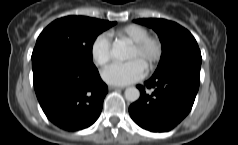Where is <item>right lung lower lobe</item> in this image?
<instances>
[{"label": "right lung lower lobe", "mask_w": 238, "mask_h": 145, "mask_svg": "<svg viewBox=\"0 0 238 145\" xmlns=\"http://www.w3.org/2000/svg\"><path fill=\"white\" fill-rule=\"evenodd\" d=\"M34 89L46 117L65 131H78L99 117L108 92L95 65L62 54L32 60Z\"/></svg>", "instance_id": "right-lung-lower-lobe-1"}]
</instances>
